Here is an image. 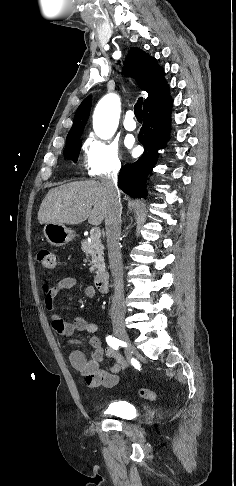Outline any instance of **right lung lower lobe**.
Here are the masks:
<instances>
[{"label": "right lung lower lobe", "mask_w": 236, "mask_h": 486, "mask_svg": "<svg viewBox=\"0 0 236 486\" xmlns=\"http://www.w3.org/2000/svg\"><path fill=\"white\" fill-rule=\"evenodd\" d=\"M172 99L169 93L143 107V126L138 135L144 146V153L138 161L122 167L118 186L132 197L141 198L146 194L143 189L147 174L158 158V150L165 147L170 129Z\"/></svg>", "instance_id": "obj_1"}]
</instances>
